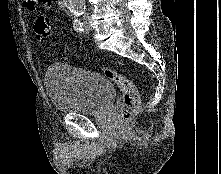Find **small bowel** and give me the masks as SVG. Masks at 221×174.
<instances>
[{"mask_svg":"<svg viewBox=\"0 0 221 174\" xmlns=\"http://www.w3.org/2000/svg\"><path fill=\"white\" fill-rule=\"evenodd\" d=\"M24 1L27 10L30 12L36 11L39 5H41L46 10L52 9L53 6L51 0H24Z\"/></svg>","mask_w":221,"mask_h":174,"instance_id":"obj_1","label":"small bowel"}]
</instances>
